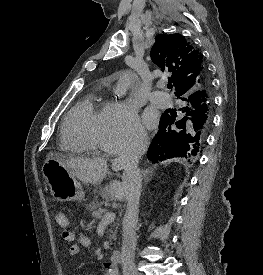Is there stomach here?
I'll list each match as a JSON object with an SVG mask.
<instances>
[{"mask_svg":"<svg viewBox=\"0 0 263 275\" xmlns=\"http://www.w3.org/2000/svg\"><path fill=\"white\" fill-rule=\"evenodd\" d=\"M42 173L51 195L57 201H81L84 198L85 193L79 181L56 159H46Z\"/></svg>","mask_w":263,"mask_h":275,"instance_id":"0dacf381","label":"stomach"}]
</instances>
